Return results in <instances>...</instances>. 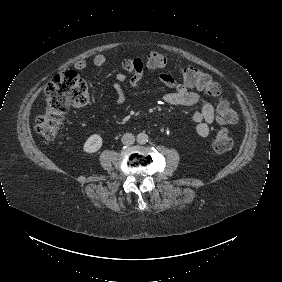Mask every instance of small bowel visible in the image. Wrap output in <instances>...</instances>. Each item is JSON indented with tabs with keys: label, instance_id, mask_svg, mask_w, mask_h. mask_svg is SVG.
Here are the masks:
<instances>
[{
	"label": "small bowel",
	"instance_id": "obj_1",
	"mask_svg": "<svg viewBox=\"0 0 282 282\" xmlns=\"http://www.w3.org/2000/svg\"><path fill=\"white\" fill-rule=\"evenodd\" d=\"M106 60L105 55L97 54L93 58V64L100 67L106 63ZM87 65L88 63L85 59H80L75 62L74 66L77 70H83ZM121 65L123 71L116 74L112 84L115 92L114 101L116 106H122L126 101L123 84L129 80L131 86L136 87L144 77L143 64L140 59L126 58ZM158 79L170 89V91L161 94L160 101L162 103L172 106H198V109L193 113L196 132L201 138H207L210 133V124L217 116L216 108L208 101L202 99L197 92L189 90L186 85L178 82L170 74L161 73ZM199 89L202 90L201 88Z\"/></svg>",
	"mask_w": 282,
	"mask_h": 282
}]
</instances>
